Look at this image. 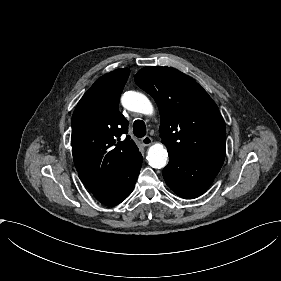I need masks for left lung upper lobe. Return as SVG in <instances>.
<instances>
[{
	"label": "left lung upper lobe",
	"mask_w": 281,
	"mask_h": 281,
	"mask_svg": "<svg viewBox=\"0 0 281 281\" xmlns=\"http://www.w3.org/2000/svg\"><path fill=\"white\" fill-rule=\"evenodd\" d=\"M135 81L159 107L160 137L169 154L191 161L223 163L224 120L194 79L174 68L148 66L138 71Z\"/></svg>",
	"instance_id": "left-lung-upper-lobe-1"
}]
</instances>
